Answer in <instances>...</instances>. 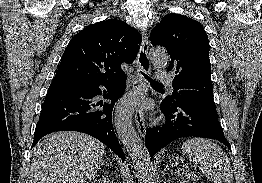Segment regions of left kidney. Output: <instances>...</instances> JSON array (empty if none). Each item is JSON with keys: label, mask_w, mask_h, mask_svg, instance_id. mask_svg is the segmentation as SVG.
I'll use <instances>...</instances> for the list:
<instances>
[{"label": "left kidney", "mask_w": 262, "mask_h": 183, "mask_svg": "<svg viewBox=\"0 0 262 183\" xmlns=\"http://www.w3.org/2000/svg\"><path fill=\"white\" fill-rule=\"evenodd\" d=\"M179 183H187L186 181H182V182H179Z\"/></svg>", "instance_id": "1"}]
</instances>
